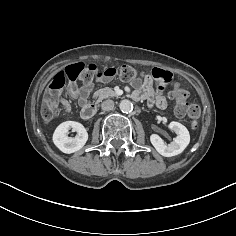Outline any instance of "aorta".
Masks as SVG:
<instances>
[{"label": "aorta", "instance_id": "1", "mask_svg": "<svg viewBox=\"0 0 236 236\" xmlns=\"http://www.w3.org/2000/svg\"><path fill=\"white\" fill-rule=\"evenodd\" d=\"M119 108L122 112L128 113L133 110V104L129 100H122L119 104Z\"/></svg>", "mask_w": 236, "mask_h": 236}]
</instances>
